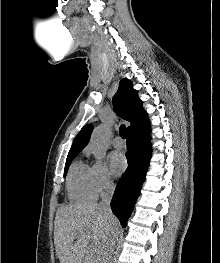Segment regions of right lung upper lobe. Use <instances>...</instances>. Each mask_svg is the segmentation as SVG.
I'll return each instance as SVG.
<instances>
[{
	"label": "right lung upper lobe",
	"instance_id": "obj_1",
	"mask_svg": "<svg viewBox=\"0 0 220 263\" xmlns=\"http://www.w3.org/2000/svg\"><path fill=\"white\" fill-rule=\"evenodd\" d=\"M113 106L120 117L131 123L127 128V135L150 127L147 113L142 107V101L128 79L124 78L120 81L118 91L113 97ZM92 129V125H86L81 129L73 141L68 156L76 155L83 150L89 142Z\"/></svg>",
	"mask_w": 220,
	"mask_h": 263
}]
</instances>
